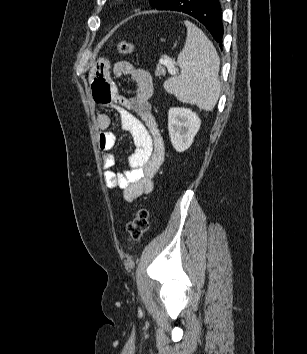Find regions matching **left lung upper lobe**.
I'll return each mask as SVG.
<instances>
[{"label":"left lung upper lobe","mask_w":307,"mask_h":354,"mask_svg":"<svg viewBox=\"0 0 307 354\" xmlns=\"http://www.w3.org/2000/svg\"><path fill=\"white\" fill-rule=\"evenodd\" d=\"M170 0H150V4L153 8L160 9Z\"/></svg>","instance_id":"left-lung-upper-lobe-1"}]
</instances>
